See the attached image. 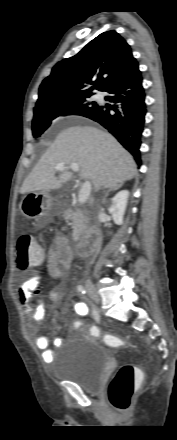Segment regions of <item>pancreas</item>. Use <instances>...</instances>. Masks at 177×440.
<instances>
[{
	"label": "pancreas",
	"mask_w": 177,
	"mask_h": 440,
	"mask_svg": "<svg viewBox=\"0 0 177 440\" xmlns=\"http://www.w3.org/2000/svg\"><path fill=\"white\" fill-rule=\"evenodd\" d=\"M64 218L72 221L73 240L77 241L88 232L89 219L87 214L80 209H67L63 213Z\"/></svg>",
	"instance_id": "cf45deb5"
}]
</instances>
